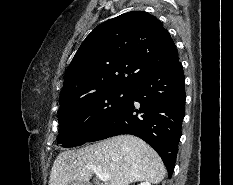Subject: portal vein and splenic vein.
<instances>
[{
	"instance_id": "portal-vein-and-splenic-vein-1",
	"label": "portal vein and splenic vein",
	"mask_w": 233,
	"mask_h": 185,
	"mask_svg": "<svg viewBox=\"0 0 233 185\" xmlns=\"http://www.w3.org/2000/svg\"><path fill=\"white\" fill-rule=\"evenodd\" d=\"M85 167L89 170H92L99 180L104 181V182L110 180V175L103 173L100 167H97L94 165H87Z\"/></svg>"
}]
</instances>
